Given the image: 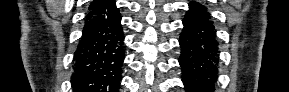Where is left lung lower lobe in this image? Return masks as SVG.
<instances>
[{
	"label": "left lung lower lobe",
	"instance_id": "left-lung-lower-lobe-1",
	"mask_svg": "<svg viewBox=\"0 0 289 92\" xmlns=\"http://www.w3.org/2000/svg\"><path fill=\"white\" fill-rule=\"evenodd\" d=\"M179 43L182 81L186 92H213L217 77L218 43L207 8L189 3Z\"/></svg>",
	"mask_w": 289,
	"mask_h": 92
}]
</instances>
